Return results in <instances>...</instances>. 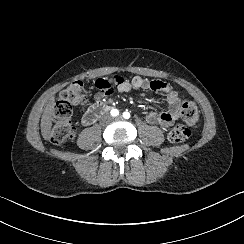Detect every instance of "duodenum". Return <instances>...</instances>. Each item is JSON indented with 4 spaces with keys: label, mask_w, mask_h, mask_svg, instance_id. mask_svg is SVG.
<instances>
[{
    "label": "duodenum",
    "mask_w": 244,
    "mask_h": 244,
    "mask_svg": "<svg viewBox=\"0 0 244 244\" xmlns=\"http://www.w3.org/2000/svg\"><path fill=\"white\" fill-rule=\"evenodd\" d=\"M111 110V105L103 103V102H97L95 103L90 109H89V116H90V123L95 122L97 119H99L101 116H103L105 113Z\"/></svg>",
    "instance_id": "1"
}]
</instances>
